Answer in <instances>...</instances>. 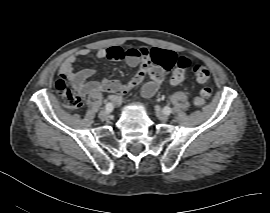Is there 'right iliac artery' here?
Masks as SVG:
<instances>
[{
	"mask_svg": "<svg viewBox=\"0 0 270 213\" xmlns=\"http://www.w3.org/2000/svg\"><path fill=\"white\" fill-rule=\"evenodd\" d=\"M106 110H108L109 112H111L113 110V105L112 103H107L105 106Z\"/></svg>",
	"mask_w": 270,
	"mask_h": 213,
	"instance_id": "obj_1",
	"label": "right iliac artery"
}]
</instances>
